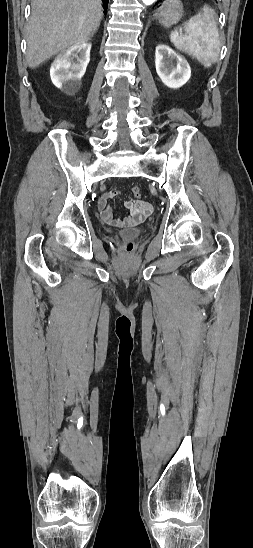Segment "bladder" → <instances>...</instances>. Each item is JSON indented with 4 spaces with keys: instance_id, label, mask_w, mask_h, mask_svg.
Wrapping results in <instances>:
<instances>
[{
    "instance_id": "1",
    "label": "bladder",
    "mask_w": 253,
    "mask_h": 548,
    "mask_svg": "<svg viewBox=\"0 0 253 548\" xmlns=\"http://www.w3.org/2000/svg\"><path fill=\"white\" fill-rule=\"evenodd\" d=\"M142 235V231L140 229H126L120 232V236L123 238L128 239H136Z\"/></svg>"
}]
</instances>
